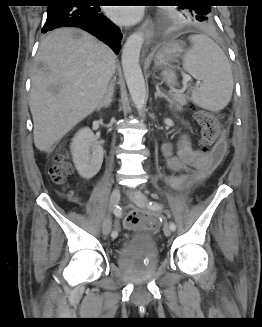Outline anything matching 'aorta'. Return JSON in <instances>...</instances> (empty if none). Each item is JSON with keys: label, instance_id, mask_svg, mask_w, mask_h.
Segmentation results:
<instances>
[{"label": "aorta", "instance_id": "1", "mask_svg": "<svg viewBox=\"0 0 262 327\" xmlns=\"http://www.w3.org/2000/svg\"><path fill=\"white\" fill-rule=\"evenodd\" d=\"M144 42L142 32L131 34L122 50V67L130 96L139 113L146 104V87L143 73L139 64L140 51Z\"/></svg>", "mask_w": 262, "mask_h": 327}]
</instances>
